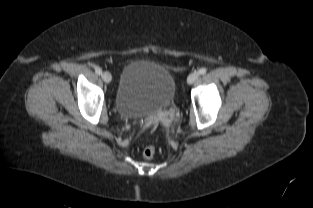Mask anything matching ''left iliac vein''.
<instances>
[{"label": "left iliac vein", "mask_w": 313, "mask_h": 208, "mask_svg": "<svg viewBox=\"0 0 313 208\" xmlns=\"http://www.w3.org/2000/svg\"><path fill=\"white\" fill-rule=\"evenodd\" d=\"M199 78V73L198 72H193L191 73L188 78H187V82L189 84L194 83L195 81H197V79Z\"/></svg>", "instance_id": "left-iliac-vein-1"}]
</instances>
